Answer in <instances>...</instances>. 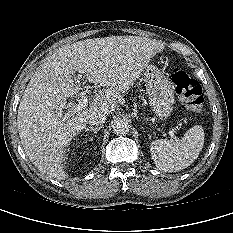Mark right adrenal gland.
<instances>
[{"label":"right adrenal gland","mask_w":233,"mask_h":233,"mask_svg":"<svg viewBox=\"0 0 233 233\" xmlns=\"http://www.w3.org/2000/svg\"><path fill=\"white\" fill-rule=\"evenodd\" d=\"M102 128H103V126H100V127H88V128H85V132L91 131V132H94L95 134H97V132L99 130H101Z\"/></svg>","instance_id":"obj_1"}]
</instances>
